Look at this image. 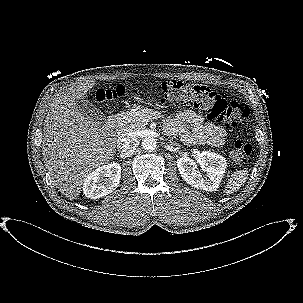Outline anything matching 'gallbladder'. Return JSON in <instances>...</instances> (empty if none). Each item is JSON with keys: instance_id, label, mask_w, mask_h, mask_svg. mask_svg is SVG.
Here are the masks:
<instances>
[{"instance_id": "obj_1", "label": "gallbladder", "mask_w": 303, "mask_h": 303, "mask_svg": "<svg viewBox=\"0 0 303 303\" xmlns=\"http://www.w3.org/2000/svg\"><path fill=\"white\" fill-rule=\"evenodd\" d=\"M78 111L84 116H88L91 120L102 123L105 116L86 98H80L76 101Z\"/></svg>"}]
</instances>
